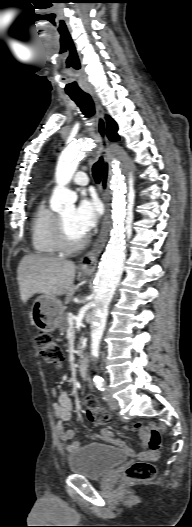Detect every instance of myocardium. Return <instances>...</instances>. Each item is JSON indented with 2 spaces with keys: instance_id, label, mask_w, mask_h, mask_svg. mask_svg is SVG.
I'll return each mask as SVG.
<instances>
[{
  "instance_id": "myocardium-1",
  "label": "myocardium",
  "mask_w": 192,
  "mask_h": 527,
  "mask_svg": "<svg viewBox=\"0 0 192 527\" xmlns=\"http://www.w3.org/2000/svg\"><path fill=\"white\" fill-rule=\"evenodd\" d=\"M55 234L57 243L61 251L71 253L82 249L87 243V237H82L77 242H71L65 232V228L62 219L59 215H56Z\"/></svg>"
}]
</instances>
